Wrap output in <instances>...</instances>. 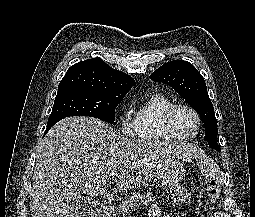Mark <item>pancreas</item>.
Returning <instances> with one entry per match:
<instances>
[{"label": "pancreas", "mask_w": 255, "mask_h": 217, "mask_svg": "<svg viewBox=\"0 0 255 217\" xmlns=\"http://www.w3.org/2000/svg\"><path fill=\"white\" fill-rule=\"evenodd\" d=\"M152 201V194L133 193L131 196L123 200L122 203L113 211V217H127V214L132 213L136 208L142 205H148Z\"/></svg>", "instance_id": "cf45deb5"}]
</instances>
